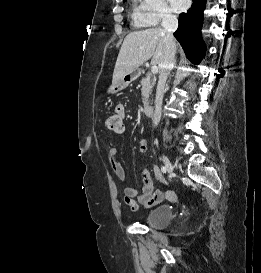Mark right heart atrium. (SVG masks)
Segmentation results:
<instances>
[{
    "label": "right heart atrium",
    "mask_w": 261,
    "mask_h": 273,
    "mask_svg": "<svg viewBox=\"0 0 261 273\" xmlns=\"http://www.w3.org/2000/svg\"><path fill=\"white\" fill-rule=\"evenodd\" d=\"M137 23L142 26H157L163 21L173 20L176 16L166 0H136Z\"/></svg>",
    "instance_id": "right-heart-atrium-1"
}]
</instances>
